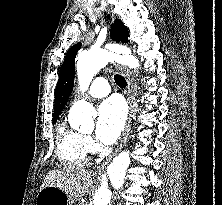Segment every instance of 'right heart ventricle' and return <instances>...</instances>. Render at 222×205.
<instances>
[{"label": "right heart ventricle", "instance_id": "obj_1", "mask_svg": "<svg viewBox=\"0 0 222 205\" xmlns=\"http://www.w3.org/2000/svg\"><path fill=\"white\" fill-rule=\"evenodd\" d=\"M88 153L85 137L65 122L61 123L57 130L56 144L60 163L68 167L83 166L88 160Z\"/></svg>", "mask_w": 222, "mask_h": 205}]
</instances>
